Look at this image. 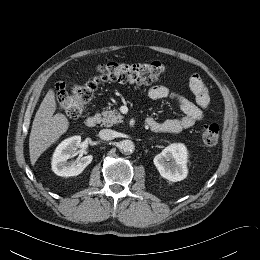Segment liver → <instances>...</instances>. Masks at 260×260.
Wrapping results in <instances>:
<instances>
[{"mask_svg": "<svg viewBox=\"0 0 260 260\" xmlns=\"http://www.w3.org/2000/svg\"><path fill=\"white\" fill-rule=\"evenodd\" d=\"M55 93L50 89L36 112L29 137V153L34 165L41 154L55 143L69 128V121L56 110Z\"/></svg>", "mask_w": 260, "mask_h": 260, "instance_id": "6515ba94", "label": "liver"}]
</instances>
